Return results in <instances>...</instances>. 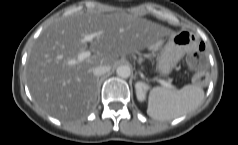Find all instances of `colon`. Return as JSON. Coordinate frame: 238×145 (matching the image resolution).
Returning a JSON list of instances; mask_svg holds the SVG:
<instances>
[{
    "instance_id": "colon-1",
    "label": "colon",
    "mask_w": 238,
    "mask_h": 145,
    "mask_svg": "<svg viewBox=\"0 0 238 145\" xmlns=\"http://www.w3.org/2000/svg\"><path fill=\"white\" fill-rule=\"evenodd\" d=\"M191 68L197 70L194 81L202 85L206 82V49L204 44H200L198 49L193 53L189 59Z\"/></svg>"
}]
</instances>
